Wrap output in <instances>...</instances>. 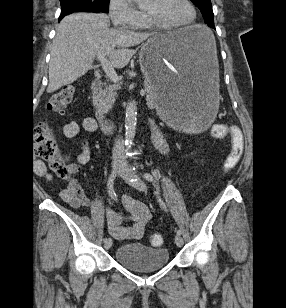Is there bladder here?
Listing matches in <instances>:
<instances>
[{
    "instance_id": "obj_1",
    "label": "bladder",
    "mask_w": 286,
    "mask_h": 308,
    "mask_svg": "<svg viewBox=\"0 0 286 308\" xmlns=\"http://www.w3.org/2000/svg\"><path fill=\"white\" fill-rule=\"evenodd\" d=\"M115 261L121 266L135 272L156 271L169 262V251L164 247H148L137 242L121 244L114 253Z\"/></svg>"
}]
</instances>
